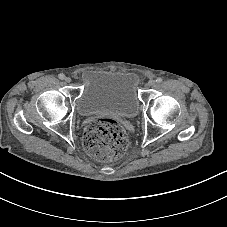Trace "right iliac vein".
<instances>
[{"instance_id":"right-iliac-vein-1","label":"right iliac vein","mask_w":227,"mask_h":227,"mask_svg":"<svg viewBox=\"0 0 227 227\" xmlns=\"http://www.w3.org/2000/svg\"><path fill=\"white\" fill-rule=\"evenodd\" d=\"M65 82L70 83L71 82V78L70 77H66L65 78Z\"/></svg>"}]
</instances>
